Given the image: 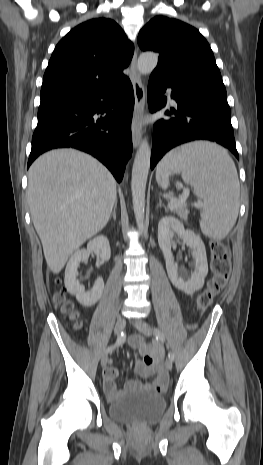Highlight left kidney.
I'll use <instances>...</instances> for the list:
<instances>
[{
    "instance_id": "1",
    "label": "left kidney",
    "mask_w": 263,
    "mask_h": 465,
    "mask_svg": "<svg viewBox=\"0 0 263 465\" xmlns=\"http://www.w3.org/2000/svg\"><path fill=\"white\" fill-rule=\"evenodd\" d=\"M175 235H178L193 250L195 272L191 274V278L188 280H185L179 273V268L173 261L171 247ZM158 243L165 258L166 269L171 282L178 289L189 295L200 290L208 274L206 250L200 236L192 230H185L184 225L178 219L165 216L160 219L158 224Z\"/></svg>"
}]
</instances>
